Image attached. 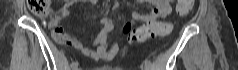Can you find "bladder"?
<instances>
[{"instance_id": "1", "label": "bladder", "mask_w": 238, "mask_h": 70, "mask_svg": "<svg viewBox=\"0 0 238 70\" xmlns=\"http://www.w3.org/2000/svg\"><path fill=\"white\" fill-rule=\"evenodd\" d=\"M95 70H121L119 68H110V67H102V68H96Z\"/></svg>"}]
</instances>
